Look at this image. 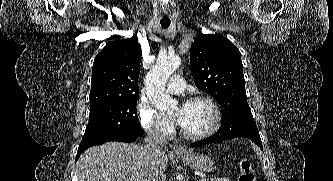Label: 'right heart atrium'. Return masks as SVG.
I'll list each match as a JSON object with an SVG mask.
<instances>
[{
	"mask_svg": "<svg viewBox=\"0 0 333 181\" xmlns=\"http://www.w3.org/2000/svg\"><path fill=\"white\" fill-rule=\"evenodd\" d=\"M136 111L141 126L148 134L159 138H165L171 134V125L164 121L148 104L140 101Z\"/></svg>",
	"mask_w": 333,
	"mask_h": 181,
	"instance_id": "obj_1",
	"label": "right heart atrium"
}]
</instances>
